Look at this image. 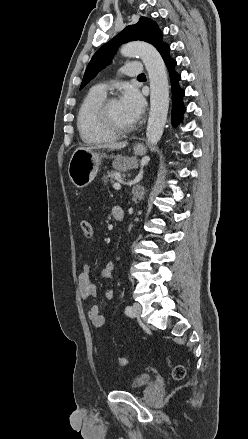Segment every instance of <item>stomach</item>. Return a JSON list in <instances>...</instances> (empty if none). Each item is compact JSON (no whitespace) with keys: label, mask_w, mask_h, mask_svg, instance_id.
<instances>
[{"label":"stomach","mask_w":248,"mask_h":439,"mask_svg":"<svg viewBox=\"0 0 248 439\" xmlns=\"http://www.w3.org/2000/svg\"><path fill=\"white\" fill-rule=\"evenodd\" d=\"M136 155H144L146 148L142 144L134 147ZM106 153L94 150H75L68 165V174L71 182L77 188H84L96 177L101 159ZM120 169H123L121 167Z\"/></svg>","instance_id":"stomach-1"}]
</instances>
